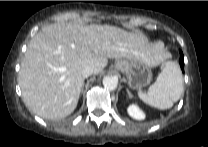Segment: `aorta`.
<instances>
[{
	"mask_svg": "<svg viewBox=\"0 0 208 147\" xmlns=\"http://www.w3.org/2000/svg\"><path fill=\"white\" fill-rule=\"evenodd\" d=\"M103 85L108 90H115L118 85V79L115 76H106L103 78Z\"/></svg>",
	"mask_w": 208,
	"mask_h": 147,
	"instance_id": "1",
	"label": "aorta"
}]
</instances>
